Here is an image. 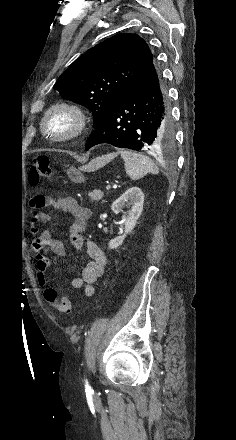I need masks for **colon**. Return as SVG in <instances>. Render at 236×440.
I'll return each mask as SVG.
<instances>
[{
    "instance_id": "5ec220e1",
    "label": "colon",
    "mask_w": 236,
    "mask_h": 440,
    "mask_svg": "<svg viewBox=\"0 0 236 440\" xmlns=\"http://www.w3.org/2000/svg\"><path fill=\"white\" fill-rule=\"evenodd\" d=\"M50 161L47 156L40 155L32 160L29 181L32 186L42 185L50 176ZM44 297L59 313L69 315L71 313V304L68 298L58 297L55 289L46 288Z\"/></svg>"
}]
</instances>
